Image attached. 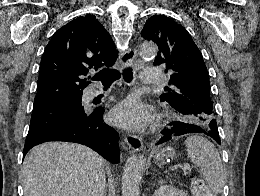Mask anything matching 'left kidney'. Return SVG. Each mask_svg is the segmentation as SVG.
Instances as JSON below:
<instances>
[{"mask_svg": "<svg viewBox=\"0 0 260 196\" xmlns=\"http://www.w3.org/2000/svg\"><path fill=\"white\" fill-rule=\"evenodd\" d=\"M153 196H188V194L174 186H160L158 190H155Z\"/></svg>", "mask_w": 260, "mask_h": 196, "instance_id": "left-kidney-1", "label": "left kidney"}]
</instances>
